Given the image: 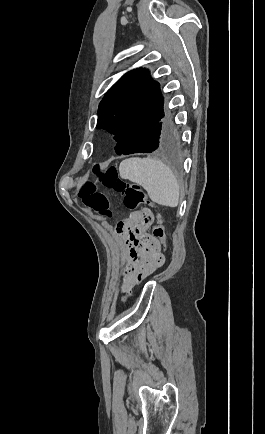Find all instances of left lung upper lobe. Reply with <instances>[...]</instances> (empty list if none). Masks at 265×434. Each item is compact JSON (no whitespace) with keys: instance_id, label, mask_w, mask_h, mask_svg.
I'll list each match as a JSON object with an SVG mask.
<instances>
[{"instance_id":"1","label":"left lung upper lobe","mask_w":265,"mask_h":434,"mask_svg":"<svg viewBox=\"0 0 265 434\" xmlns=\"http://www.w3.org/2000/svg\"><path fill=\"white\" fill-rule=\"evenodd\" d=\"M159 84L146 69L126 73L106 93L98 109L97 129L113 135L117 145L168 121Z\"/></svg>"}]
</instances>
